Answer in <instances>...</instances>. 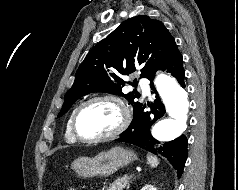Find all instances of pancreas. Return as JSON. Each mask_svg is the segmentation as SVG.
Returning a JSON list of instances; mask_svg holds the SVG:
<instances>
[{
    "label": "pancreas",
    "mask_w": 238,
    "mask_h": 190,
    "mask_svg": "<svg viewBox=\"0 0 238 190\" xmlns=\"http://www.w3.org/2000/svg\"><path fill=\"white\" fill-rule=\"evenodd\" d=\"M129 178H118L116 179L107 190H124L128 185Z\"/></svg>",
    "instance_id": "pancreas-1"
}]
</instances>
